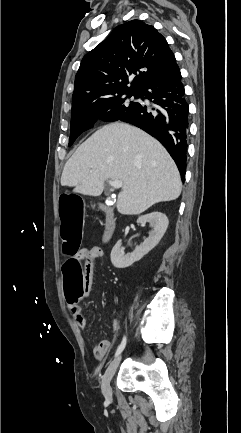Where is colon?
<instances>
[{"label": "colon", "mask_w": 241, "mask_h": 433, "mask_svg": "<svg viewBox=\"0 0 241 433\" xmlns=\"http://www.w3.org/2000/svg\"><path fill=\"white\" fill-rule=\"evenodd\" d=\"M79 192H60L59 221L60 225V245L63 257H76L77 249L80 247L84 238L86 227L82 214H87L88 208L84 200H80ZM94 214H103V205H94ZM62 274L60 287L63 289L65 305H80L81 296L84 290L83 271L78 265L76 258H64L62 261Z\"/></svg>", "instance_id": "colon-1"}]
</instances>
